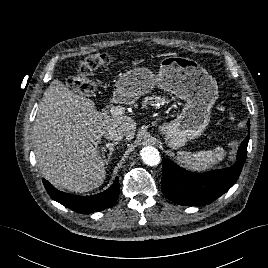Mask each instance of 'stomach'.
I'll return each instance as SVG.
<instances>
[{"label": "stomach", "mask_w": 268, "mask_h": 268, "mask_svg": "<svg viewBox=\"0 0 268 268\" xmlns=\"http://www.w3.org/2000/svg\"><path fill=\"white\" fill-rule=\"evenodd\" d=\"M156 84L185 101L176 119L159 126L166 144L178 149L199 137L208 126L211 108L218 98L217 83L195 60L169 56L161 60L157 75L144 67L124 73L116 83V93L123 102L133 103L149 94Z\"/></svg>", "instance_id": "obj_1"}]
</instances>
